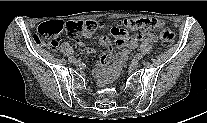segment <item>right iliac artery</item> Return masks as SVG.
Segmentation results:
<instances>
[{
    "label": "right iliac artery",
    "mask_w": 207,
    "mask_h": 123,
    "mask_svg": "<svg viewBox=\"0 0 207 123\" xmlns=\"http://www.w3.org/2000/svg\"><path fill=\"white\" fill-rule=\"evenodd\" d=\"M68 60H69L70 62H73V61L75 60V58L71 56V57L68 58Z\"/></svg>",
    "instance_id": "82829eb1"
}]
</instances>
